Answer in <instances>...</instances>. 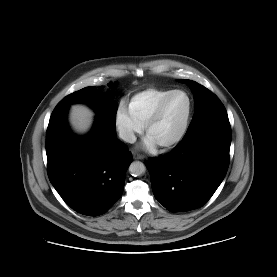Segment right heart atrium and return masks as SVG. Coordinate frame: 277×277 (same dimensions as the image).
<instances>
[{
	"label": "right heart atrium",
	"instance_id": "obj_1",
	"mask_svg": "<svg viewBox=\"0 0 277 277\" xmlns=\"http://www.w3.org/2000/svg\"><path fill=\"white\" fill-rule=\"evenodd\" d=\"M114 123L120 138L127 143H133L143 130V126L133 118L124 103L116 108Z\"/></svg>",
	"mask_w": 277,
	"mask_h": 277
}]
</instances>
